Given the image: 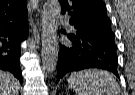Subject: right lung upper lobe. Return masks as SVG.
Returning a JSON list of instances; mask_svg holds the SVG:
<instances>
[{
  "label": "right lung upper lobe",
  "mask_w": 135,
  "mask_h": 95,
  "mask_svg": "<svg viewBox=\"0 0 135 95\" xmlns=\"http://www.w3.org/2000/svg\"><path fill=\"white\" fill-rule=\"evenodd\" d=\"M27 17L26 0H0V20H20Z\"/></svg>",
  "instance_id": "obj_1"
}]
</instances>
